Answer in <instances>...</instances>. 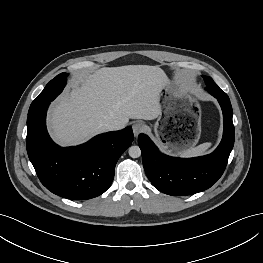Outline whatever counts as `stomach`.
I'll return each instance as SVG.
<instances>
[{"label": "stomach", "mask_w": 263, "mask_h": 263, "mask_svg": "<svg viewBox=\"0 0 263 263\" xmlns=\"http://www.w3.org/2000/svg\"><path fill=\"white\" fill-rule=\"evenodd\" d=\"M160 98L165 116L156 122L154 132L157 138H162L161 145L168 153L179 155L199 141L200 105L170 81L161 90Z\"/></svg>", "instance_id": "stomach-1"}]
</instances>
